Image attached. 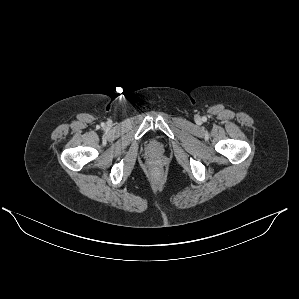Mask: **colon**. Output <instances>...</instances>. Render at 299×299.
Returning a JSON list of instances; mask_svg holds the SVG:
<instances>
[{"mask_svg":"<svg viewBox=\"0 0 299 299\" xmlns=\"http://www.w3.org/2000/svg\"><path fill=\"white\" fill-rule=\"evenodd\" d=\"M152 175H153V176H157V175H158L157 170H153V171H152Z\"/></svg>","mask_w":299,"mask_h":299,"instance_id":"5ec220e1","label":"colon"}]
</instances>
